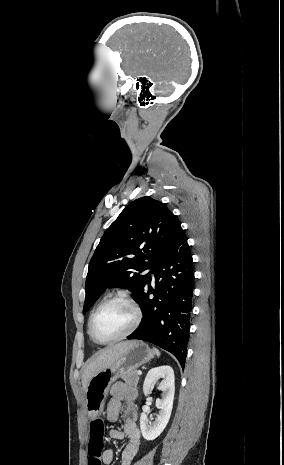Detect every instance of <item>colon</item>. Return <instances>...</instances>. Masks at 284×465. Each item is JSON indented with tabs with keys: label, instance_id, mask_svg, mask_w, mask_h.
<instances>
[{
	"label": "colon",
	"instance_id": "colon-1",
	"mask_svg": "<svg viewBox=\"0 0 284 465\" xmlns=\"http://www.w3.org/2000/svg\"><path fill=\"white\" fill-rule=\"evenodd\" d=\"M108 428L107 425H104L103 421H90L89 429L87 431L89 440L88 447V465H101V452L100 448L105 447V440L100 438H105Z\"/></svg>",
	"mask_w": 284,
	"mask_h": 465
}]
</instances>
